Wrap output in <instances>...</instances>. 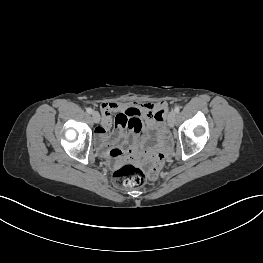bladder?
I'll return each instance as SVG.
<instances>
[{
	"label": "bladder",
	"mask_w": 263,
	"mask_h": 263,
	"mask_svg": "<svg viewBox=\"0 0 263 263\" xmlns=\"http://www.w3.org/2000/svg\"><path fill=\"white\" fill-rule=\"evenodd\" d=\"M157 133H161V130L156 131Z\"/></svg>",
	"instance_id": "31cf9c89"
}]
</instances>
